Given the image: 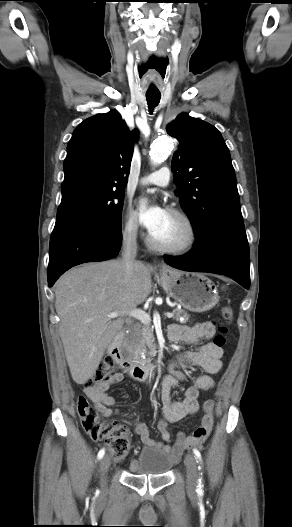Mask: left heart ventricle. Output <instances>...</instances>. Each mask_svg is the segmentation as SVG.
<instances>
[{"instance_id":"obj_1","label":"left heart ventricle","mask_w":292,"mask_h":527,"mask_svg":"<svg viewBox=\"0 0 292 527\" xmlns=\"http://www.w3.org/2000/svg\"><path fill=\"white\" fill-rule=\"evenodd\" d=\"M150 235L155 241L161 244L174 245L185 239L186 229L178 218L166 213L165 219L160 227Z\"/></svg>"}]
</instances>
